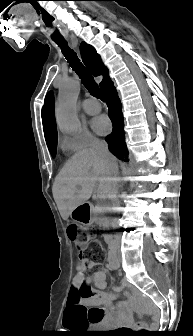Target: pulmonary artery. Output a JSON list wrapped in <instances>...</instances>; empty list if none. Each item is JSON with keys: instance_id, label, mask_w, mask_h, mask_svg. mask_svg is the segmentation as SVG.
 Wrapping results in <instances>:
<instances>
[{"instance_id": "pulmonary-artery-1", "label": "pulmonary artery", "mask_w": 193, "mask_h": 336, "mask_svg": "<svg viewBox=\"0 0 193 336\" xmlns=\"http://www.w3.org/2000/svg\"><path fill=\"white\" fill-rule=\"evenodd\" d=\"M83 110L88 114H96L101 110L100 103L95 99H85L81 104Z\"/></svg>"}]
</instances>
